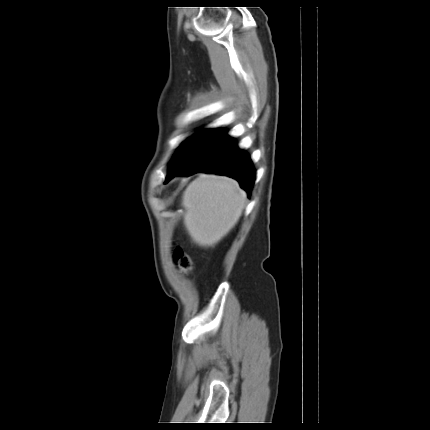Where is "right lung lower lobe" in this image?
<instances>
[{
  "instance_id": "98d812e1",
  "label": "right lung lower lobe",
  "mask_w": 430,
  "mask_h": 430,
  "mask_svg": "<svg viewBox=\"0 0 430 430\" xmlns=\"http://www.w3.org/2000/svg\"><path fill=\"white\" fill-rule=\"evenodd\" d=\"M197 172L227 175L236 179L250 195L256 170L246 151L238 148L234 138L225 136L186 166L168 175L165 183L175 175H192Z\"/></svg>"
}]
</instances>
